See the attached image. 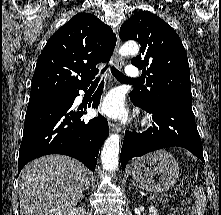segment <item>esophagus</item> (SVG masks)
I'll return each mask as SVG.
<instances>
[{
    "instance_id": "obj_1",
    "label": "esophagus",
    "mask_w": 221,
    "mask_h": 215,
    "mask_svg": "<svg viewBox=\"0 0 221 215\" xmlns=\"http://www.w3.org/2000/svg\"><path fill=\"white\" fill-rule=\"evenodd\" d=\"M120 45H121V40L119 38V31L117 29V42H116L115 53H114V64L117 68H121L123 66V62H124L123 58L118 53ZM106 77L109 82L112 81L113 77H112L110 70H108L106 72ZM109 128L112 132H120L121 131V128L114 122H109Z\"/></svg>"
}]
</instances>
